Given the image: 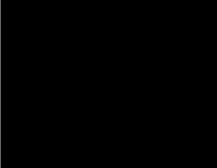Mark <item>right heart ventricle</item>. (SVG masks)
<instances>
[{"label": "right heart ventricle", "mask_w": 217, "mask_h": 168, "mask_svg": "<svg viewBox=\"0 0 217 168\" xmlns=\"http://www.w3.org/2000/svg\"><path fill=\"white\" fill-rule=\"evenodd\" d=\"M119 30H115L114 32H113V34H119Z\"/></svg>", "instance_id": "e07e8e85"}]
</instances>
